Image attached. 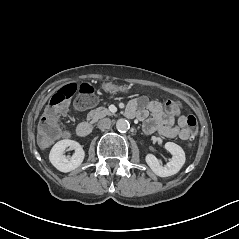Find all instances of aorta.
I'll list each match as a JSON object with an SVG mask.
<instances>
[{
	"label": "aorta",
	"instance_id": "1",
	"mask_svg": "<svg viewBox=\"0 0 239 239\" xmlns=\"http://www.w3.org/2000/svg\"><path fill=\"white\" fill-rule=\"evenodd\" d=\"M116 128L119 132H126L129 129V122L125 119H119Z\"/></svg>",
	"mask_w": 239,
	"mask_h": 239
}]
</instances>
